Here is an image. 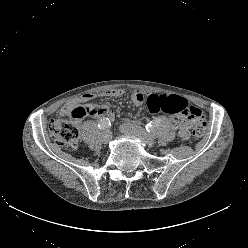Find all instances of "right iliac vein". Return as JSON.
<instances>
[{
    "instance_id": "63e3f726",
    "label": "right iliac vein",
    "mask_w": 248,
    "mask_h": 248,
    "mask_svg": "<svg viewBox=\"0 0 248 248\" xmlns=\"http://www.w3.org/2000/svg\"><path fill=\"white\" fill-rule=\"evenodd\" d=\"M111 137H112L111 132H110V131H105V132L102 134V136H101V141H102V143L108 144L109 141L111 140Z\"/></svg>"
}]
</instances>
